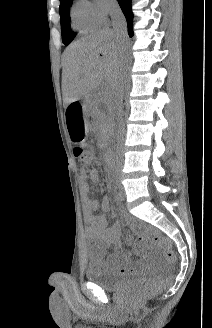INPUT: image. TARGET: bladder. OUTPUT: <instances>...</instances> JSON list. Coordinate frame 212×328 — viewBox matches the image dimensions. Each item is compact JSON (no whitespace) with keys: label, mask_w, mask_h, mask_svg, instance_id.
<instances>
[{"label":"bladder","mask_w":212,"mask_h":328,"mask_svg":"<svg viewBox=\"0 0 212 328\" xmlns=\"http://www.w3.org/2000/svg\"><path fill=\"white\" fill-rule=\"evenodd\" d=\"M141 276L140 271H136L129 275H118L104 271L95 265H90L86 271V277L89 281L97 284L106 291H118L123 287L127 286L138 280Z\"/></svg>","instance_id":"bladder-1"}]
</instances>
